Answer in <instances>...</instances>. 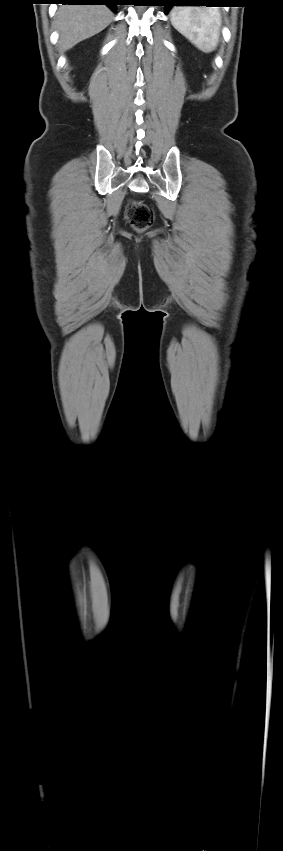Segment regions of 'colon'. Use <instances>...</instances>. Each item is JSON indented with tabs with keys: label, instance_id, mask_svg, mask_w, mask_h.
Listing matches in <instances>:
<instances>
[{
	"label": "colon",
	"instance_id": "obj_1",
	"mask_svg": "<svg viewBox=\"0 0 283 851\" xmlns=\"http://www.w3.org/2000/svg\"><path fill=\"white\" fill-rule=\"evenodd\" d=\"M126 219L137 231L146 230L154 220L152 209L139 201H131L126 208Z\"/></svg>",
	"mask_w": 283,
	"mask_h": 851
}]
</instances>
